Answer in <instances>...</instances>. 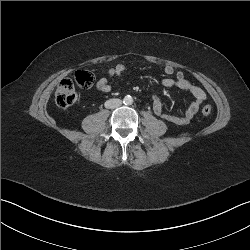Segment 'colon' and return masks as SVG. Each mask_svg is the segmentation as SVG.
Listing matches in <instances>:
<instances>
[{
	"instance_id": "obj_1",
	"label": "colon",
	"mask_w": 250,
	"mask_h": 250,
	"mask_svg": "<svg viewBox=\"0 0 250 250\" xmlns=\"http://www.w3.org/2000/svg\"><path fill=\"white\" fill-rule=\"evenodd\" d=\"M93 82L94 75L88 71H78L73 79H63L56 89V104L62 108L72 106L79 100L77 88H89ZM211 111V106L208 104L202 107V114L205 117H209Z\"/></svg>"
}]
</instances>
